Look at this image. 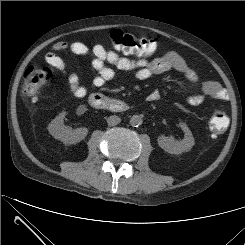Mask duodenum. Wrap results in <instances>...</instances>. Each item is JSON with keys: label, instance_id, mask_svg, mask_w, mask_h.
Wrapping results in <instances>:
<instances>
[{"label": "duodenum", "instance_id": "obj_1", "mask_svg": "<svg viewBox=\"0 0 245 245\" xmlns=\"http://www.w3.org/2000/svg\"><path fill=\"white\" fill-rule=\"evenodd\" d=\"M89 103L95 108L115 112H123L130 109L129 104L117 99L108 98L100 93H93L89 98Z\"/></svg>", "mask_w": 245, "mask_h": 245}]
</instances>
